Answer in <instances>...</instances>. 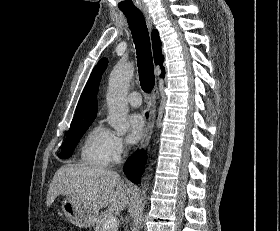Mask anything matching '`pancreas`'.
<instances>
[{"instance_id": "pancreas-1", "label": "pancreas", "mask_w": 280, "mask_h": 231, "mask_svg": "<svg viewBox=\"0 0 280 231\" xmlns=\"http://www.w3.org/2000/svg\"><path fill=\"white\" fill-rule=\"evenodd\" d=\"M110 215H115L114 211H102L101 215H98L94 225L95 231H117V227H113V229L105 227Z\"/></svg>"}]
</instances>
